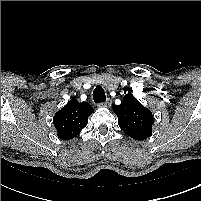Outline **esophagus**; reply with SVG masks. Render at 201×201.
<instances>
[{"mask_svg": "<svg viewBox=\"0 0 201 201\" xmlns=\"http://www.w3.org/2000/svg\"><path fill=\"white\" fill-rule=\"evenodd\" d=\"M98 105L104 107H110L112 105V101L110 98H107L104 102H101Z\"/></svg>", "mask_w": 201, "mask_h": 201, "instance_id": "1", "label": "esophagus"}]
</instances>
